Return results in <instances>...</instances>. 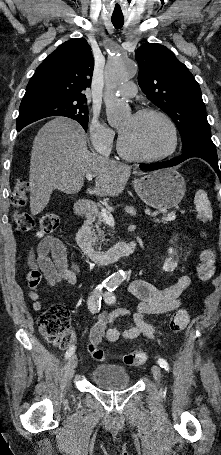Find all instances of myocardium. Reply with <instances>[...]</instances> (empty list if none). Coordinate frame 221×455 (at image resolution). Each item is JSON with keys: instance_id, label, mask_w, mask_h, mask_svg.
<instances>
[{"instance_id": "myocardium-1", "label": "myocardium", "mask_w": 221, "mask_h": 455, "mask_svg": "<svg viewBox=\"0 0 221 455\" xmlns=\"http://www.w3.org/2000/svg\"><path fill=\"white\" fill-rule=\"evenodd\" d=\"M148 115H156L164 121V123L166 124V126L168 127V129L170 131V136H171L170 147L166 151L159 153V154H155V155L133 154L125 149V147L123 145L122 137L119 134L118 140H117V150H118L119 154L122 157H124L125 159H128L130 161H135V162H157V161H161V160L171 156L176 151V149L178 147L179 139H178V131H177L176 125L174 124L173 120L162 110L157 109V108H152V107L140 109L133 116L144 117V116H148Z\"/></svg>"}]
</instances>
